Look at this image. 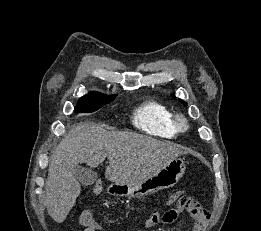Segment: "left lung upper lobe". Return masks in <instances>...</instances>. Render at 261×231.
<instances>
[{
	"label": "left lung upper lobe",
	"instance_id": "5c2ea615",
	"mask_svg": "<svg viewBox=\"0 0 261 231\" xmlns=\"http://www.w3.org/2000/svg\"><path fill=\"white\" fill-rule=\"evenodd\" d=\"M173 97H175V96H173ZM180 101H181V103H183L185 106H187V103L186 102H184L183 100H181V99H179Z\"/></svg>",
	"mask_w": 261,
	"mask_h": 231
}]
</instances>
